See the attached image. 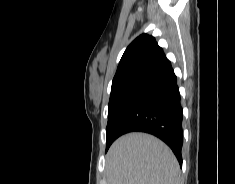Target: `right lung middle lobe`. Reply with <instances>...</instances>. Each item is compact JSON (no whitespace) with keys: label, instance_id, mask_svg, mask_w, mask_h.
Listing matches in <instances>:
<instances>
[{"label":"right lung middle lobe","instance_id":"dd1d6c3e","mask_svg":"<svg viewBox=\"0 0 235 184\" xmlns=\"http://www.w3.org/2000/svg\"><path fill=\"white\" fill-rule=\"evenodd\" d=\"M130 86H125L116 90L111 91L109 105H108V124L106 128L107 132V139H106V151L110 147V145L115 140L114 134L110 131V123L112 121V118L118 108V105L120 104L123 96L127 92Z\"/></svg>","mask_w":235,"mask_h":184}]
</instances>
